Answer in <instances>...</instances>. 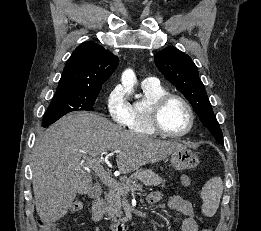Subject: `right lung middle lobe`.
<instances>
[{"mask_svg":"<svg viewBox=\"0 0 261 231\" xmlns=\"http://www.w3.org/2000/svg\"><path fill=\"white\" fill-rule=\"evenodd\" d=\"M100 90L56 91L46 113L42 126L47 127L72 111H94V103Z\"/></svg>","mask_w":261,"mask_h":231,"instance_id":"1","label":"right lung middle lobe"}]
</instances>
